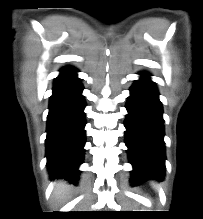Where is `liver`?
Segmentation results:
<instances>
[{
    "label": "liver",
    "instance_id": "liver-1",
    "mask_svg": "<svg viewBox=\"0 0 203 219\" xmlns=\"http://www.w3.org/2000/svg\"><path fill=\"white\" fill-rule=\"evenodd\" d=\"M66 190H67L66 183L63 181H58L56 184V187H55V191H54L55 197L57 199L62 198L64 196Z\"/></svg>",
    "mask_w": 203,
    "mask_h": 219
}]
</instances>
